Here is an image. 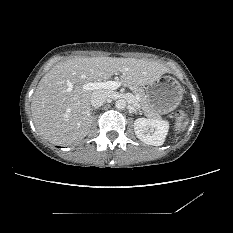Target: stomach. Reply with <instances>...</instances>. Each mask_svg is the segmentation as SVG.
Masks as SVG:
<instances>
[{
	"label": "stomach",
	"instance_id": "1",
	"mask_svg": "<svg viewBox=\"0 0 233 233\" xmlns=\"http://www.w3.org/2000/svg\"><path fill=\"white\" fill-rule=\"evenodd\" d=\"M148 105L159 114H167L180 104L183 89L180 83L171 76H161L145 88Z\"/></svg>",
	"mask_w": 233,
	"mask_h": 233
}]
</instances>
